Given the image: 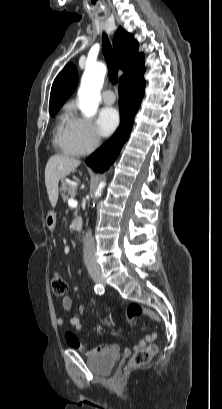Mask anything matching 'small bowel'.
<instances>
[{
    "label": "small bowel",
    "mask_w": 222,
    "mask_h": 409,
    "mask_svg": "<svg viewBox=\"0 0 222 409\" xmlns=\"http://www.w3.org/2000/svg\"><path fill=\"white\" fill-rule=\"evenodd\" d=\"M62 306L63 309L69 314V321L70 324L76 329V330H81L82 329V321L81 319L71 313V307H72V300L69 296L64 297L62 301ZM84 312V308L82 306L79 307V313L82 314ZM56 324L58 327H63L64 326V320L61 317L56 318ZM157 338V333L152 332L150 334H147L142 340L139 341V343L135 346V349L138 350L142 347H144L147 343L153 342ZM64 339L67 342V344L77 350L78 352L82 353L85 356H95L103 352L107 351H117L119 349L118 345H113V344H105L98 346L93 349H87L82 344L79 342V340L71 333L65 332L64 333ZM122 352L125 355L130 354L131 348L128 346H125L122 348Z\"/></svg>",
    "instance_id": "obj_1"
}]
</instances>
